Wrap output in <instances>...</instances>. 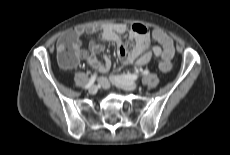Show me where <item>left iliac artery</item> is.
Masks as SVG:
<instances>
[{"label": "left iliac artery", "instance_id": "44dca946", "mask_svg": "<svg viewBox=\"0 0 230 155\" xmlns=\"http://www.w3.org/2000/svg\"><path fill=\"white\" fill-rule=\"evenodd\" d=\"M148 73H149V71L145 70V71L142 72V75H147ZM122 77L127 79V80L134 81V80L138 79L139 75L138 74H123Z\"/></svg>", "mask_w": 230, "mask_h": 155}]
</instances>
